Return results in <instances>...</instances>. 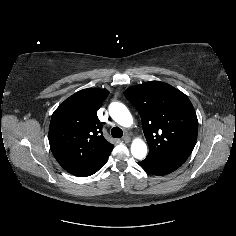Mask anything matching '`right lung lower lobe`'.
<instances>
[{"label": "right lung lower lobe", "mask_w": 236, "mask_h": 236, "mask_svg": "<svg viewBox=\"0 0 236 236\" xmlns=\"http://www.w3.org/2000/svg\"><path fill=\"white\" fill-rule=\"evenodd\" d=\"M105 163H106V162H105ZM105 163H104V164H105ZM104 164H103V165H104ZM103 165H102V166H103ZM102 166H101V167H102ZM101 167H99V169H100ZM99 169H98V170H99ZM98 170H97V171H98ZM97 171H96V172H97Z\"/></svg>", "instance_id": "right-lung-lower-lobe-1"}]
</instances>
